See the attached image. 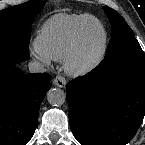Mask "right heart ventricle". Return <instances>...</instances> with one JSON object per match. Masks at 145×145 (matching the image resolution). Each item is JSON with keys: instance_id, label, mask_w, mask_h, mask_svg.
<instances>
[{"instance_id": "obj_1", "label": "right heart ventricle", "mask_w": 145, "mask_h": 145, "mask_svg": "<svg viewBox=\"0 0 145 145\" xmlns=\"http://www.w3.org/2000/svg\"><path fill=\"white\" fill-rule=\"evenodd\" d=\"M93 19L90 14H56L38 31L35 48L52 60H62L72 48L80 25Z\"/></svg>"}]
</instances>
